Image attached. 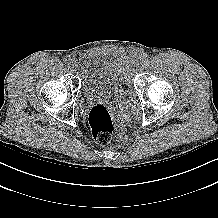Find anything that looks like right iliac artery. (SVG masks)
Listing matches in <instances>:
<instances>
[{
  "label": "right iliac artery",
  "instance_id": "obj_1",
  "mask_svg": "<svg viewBox=\"0 0 218 218\" xmlns=\"http://www.w3.org/2000/svg\"><path fill=\"white\" fill-rule=\"evenodd\" d=\"M63 61L65 62V63H70V61H71V57L70 56H66V57H64L63 58Z\"/></svg>",
  "mask_w": 218,
  "mask_h": 218
}]
</instances>
